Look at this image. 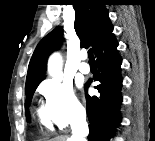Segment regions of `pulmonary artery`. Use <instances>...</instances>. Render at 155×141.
I'll list each match as a JSON object with an SVG mask.
<instances>
[{"mask_svg": "<svg viewBox=\"0 0 155 141\" xmlns=\"http://www.w3.org/2000/svg\"><path fill=\"white\" fill-rule=\"evenodd\" d=\"M80 58L82 60H86L87 58V54L86 52H83L80 56ZM79 71L83 74H88L90 72V67L89 65L86 63V62H82L80 65H79Z\"/></svg>", "mask_w": 155, "mask_h": 141, "instance_id": "1", "label": "pulmonary artery"}]
</instances>
